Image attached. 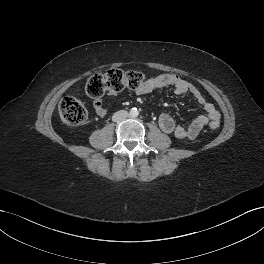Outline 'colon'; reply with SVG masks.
<instances>
[{"label": "colon", "instance_id": "1", "mask_svg": "<svg viewBox=\"0 0 264 264\" xmlns=\"http://www.w3.org/2000/svg\"><path fill=\"white\" fill-rule=\"evenodd\" d=\"M144 83L140 72L112 69L105 74L91 76L85 84V94L91 98H99L105 93L115 94L125 88L138 89ZM59 114L64 123L76 126L87 118V110L81 101L74 97H64L59 103ZM213 130L219 127V121H211Z\"/></svg>", "mask_w": 264, "mask_h": 264}]
</instances>
